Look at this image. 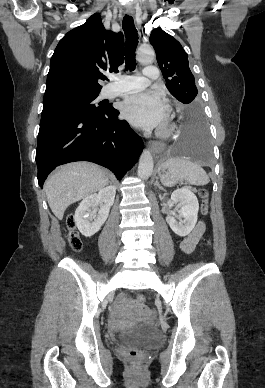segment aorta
<instances>
[{"instance_id":"obj_1","label":"aorta","mask_w":265,"mask_h":388,"mask_svg":"<svg viewBox=\"0 0 265 388\" xmlns=\"http://www.w3.org/2000/svg\"><path fill=\"white\" fill-rule=\"evenodd\" d=\"M154 59V51L152 49H142L139 53V61L142 63H151ZM154 162L152 154L149 150H144L139 159L138 177L142 180H147L153 172Z\"/></svg>"}]
</instances>
